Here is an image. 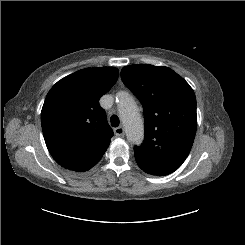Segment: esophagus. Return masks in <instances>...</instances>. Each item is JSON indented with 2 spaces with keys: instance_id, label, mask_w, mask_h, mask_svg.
<instances>
[{
  "instance_id": "34e87169",
  "label": "esophagus",
  "mask_w": 245,
  "mask_h": 245,
  "mask_svg": "<svg viewBox=\"0 0 245 245\" xmlns=\"http://www.w3.org/2000/svg\"><path fill=\"white\" fill-rule=\"evenodd\" d=\"M115 134H116L117 136H123V135H124V128L121 127V126L115 128Z\"/></svg>"
}]
</instances>
